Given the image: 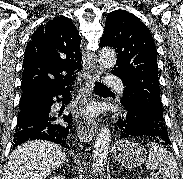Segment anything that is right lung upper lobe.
<instances>
[{
	"label": "right lung upper lobe",
	"instance_id": "obj_1",
	"mask_svg": "<svg viewBox=\"0 0 183 179\" xmlns=\"http://www.w3.org/2000/svg\"><path fill=\"white\" fill-rule=\"evenodd\" d=\"M81 37L75 25L64 16L41 24L25 50L21 90L25 97L32 91L64 88L82 69Z\"/></svg>",
	"mask_w": 183,
	"mask_h": 179
}]
</instances>
